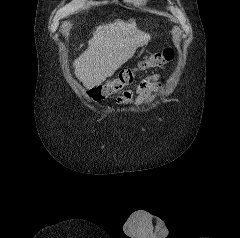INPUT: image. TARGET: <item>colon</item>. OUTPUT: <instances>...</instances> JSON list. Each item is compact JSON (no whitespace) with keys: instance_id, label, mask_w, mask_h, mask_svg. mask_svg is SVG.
<instances>
[{"instance_id":"5ec220e1","label":"colon","mask_w":240,"mask_h":238,"mask_svg":"<svg viewBox=\"0 0 240 238\" xmlns=\"http://www.w3.org/2000/svg\"><path fill=\"white\" fill-rule=\"evenodd\" d=\"M174 57V52L171 48H166L163 51L157 52L146 58L139 66V69L156 68L170 62ZM137 69H124L115 79L107 83L98 85L88 90L89 96L100 101L106 99L113 94L121 91L123 88L131 85L134 82Z\"/></svg>"}]
</instances>
